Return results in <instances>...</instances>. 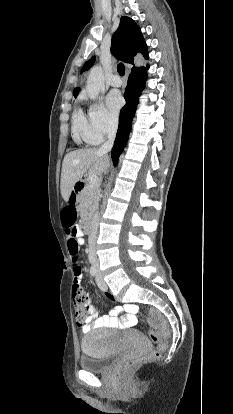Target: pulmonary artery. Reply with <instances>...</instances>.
I'll return each mask as SVG.
<instances>
[{"label":"pulmonary artery","mask_w":233,"mask_h":414,"mask_svg":"<svg viewBox=\"0 0 233 414\" xmlns=\"http://www.w3.org/2000/svg\"><path fill=\"white\" fill-rule=\"evenodd\" d=\"M109 83L113 87H119L122 85L123 82H122V79L118 75L115 74L110 78Z\"/></svg>","instance_id":"1"}]
</instances>
